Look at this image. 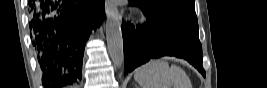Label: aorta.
<instances>
[{"instance_id": "obj_1", "label": "aorta", "mask_w": 267, "mask_h": 88, "mask_svg": "<svg viewBox=\"0 0 267 88\" xmlns=\"http://www.w3.org/2000/svg\"><path fill=\"white\" fill-rule=\"evenodd\" d=\"M115 8L107 9L106 40L113 64L121 67L124 62L123 38L119 19L114 15Z\"/></svg>"}]
</instances>
